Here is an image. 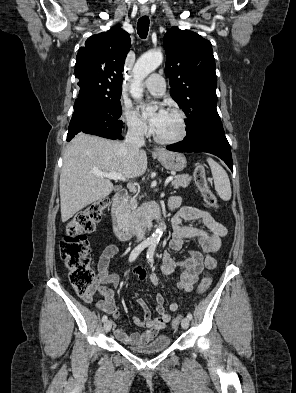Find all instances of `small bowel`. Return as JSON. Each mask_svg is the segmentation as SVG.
<instances>
[{"instance_id": "obj_1", "label": "small bowel", "mask_w": 296, "mask_h": 393, "mask_svg": "<svg viewBox=\"0 0 296 393\" xmlns=\"http://www.w3.org/2000/svg\"><path fill=\"white\" fill-rule=\"evenodd\" d=\"M169 207L175 211L172 218L174 231L163 253L160 270L166 275H172L180 269L182 272L176 285L179 289L190 292L204 269L211 270L216 267L217 262L214 254L219 250L221 239L227 234V228L205 210L195 207H180V199L177 197L170 201ZM182 220H201L205 227L182 226ZM188 239L196 240L204 254L198 250H192L187 257L174 258L171 252L180 251L185 240ZM119 252L120 248L115 244H110L104 248L97 262L98 285L88 296L81 297L84 302L90 303L93 293L98 291L104 298L96 303L97 309L112 315L115 319L119 317V312L116 307L114 292L104 285L112 284L117 287L119 284V276L108 271L111 258L118 255ZM134 273L141 281H148L153 286L159 285V279L154 271L135 268ZM136 302L143 311V318L134 316L132 320L138 327L145 329V332L128 334L125 328L117 327L114 321H111L116 338L125 345L137 346L150 343L169 324L172 319L171 312H175L179 308L178 303L173 301L169 305V311L166 310L164 297L157 294L155 296V311L159 314V317L153 318L144 299L138 298Z\"/></svg>"}]
</instances>
